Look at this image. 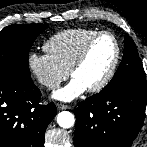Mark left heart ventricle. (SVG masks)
Masks as SVG:
<instances>
[{
  "instance_id": "left-heart-ventricle-1",
  "label": "left heart ventricle",
  "mask_w": 147,
  "mask_h": 147,
  "mask_svg": "<svg viewBox=\"0 0 147 147\" xmlns=\"http://www.w3.org/2000/svg\"><path fill=\"white\" fill-rule=\"evenodd\" d=\"M115 57V44L110 36H102L93 44L90 52L73 78L80 80L87 89L99 83L107 74Z\"/></svg>"
}]
</instances>
